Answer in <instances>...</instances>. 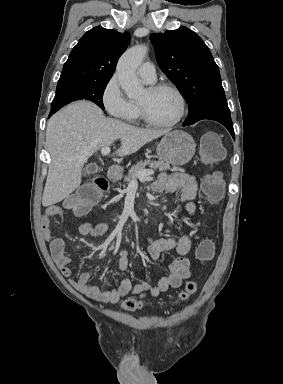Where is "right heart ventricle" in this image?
<instances>
[{"instance_id": "1", "label": "right heart ventricle", "mask_w": 283, "mask_h": 384, "mask_svg": "<svg viewBox=\"0 0 283 384\" xmlns=\"http://www.w3.org/2000/svg\"><path fill=\"white\" fill-rule=\"evenodd\" d=\"M138 118H139V109H138V106L134 104V115L132 120H136Z\"/></svg>"}]
</instances>
